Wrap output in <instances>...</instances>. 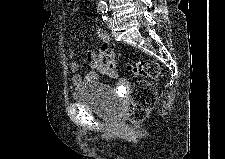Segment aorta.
<instances>
[{
	"instance_id": "obj_1",
	"label": "aorta",
	"mask_w": 225,
	"mask_h": 159,
	"mask_svg": "<svg viewBox=\"0 0 225 159\" xmlns=\"http://www.w3.org/2000/svg\"><path fill=\"white\" fill-rule=\"evenodd\" d=\"M98 5L102 6V7H105L106 6V2L104 0H100Z\"/></svg>"
}]
</instances>
